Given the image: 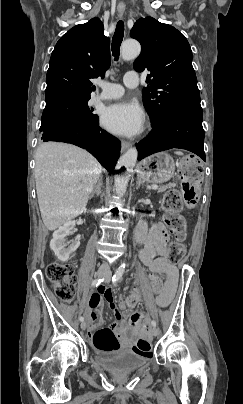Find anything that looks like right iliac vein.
I'll return each mask as SVG.
<instances>
[{"mask_svg": "<svg viewBox=\"0 0 243 404\" xmlns=\"http://www.w3.org/2000/svg\"><path fill=\"white\" fill-rule=\"evenodd\" d=\"M104 275H105V273H104L103 271H99V272L96 273V277H97V278H101V277H103ZM81 329H82V330H85V329H86V322L83 321V322L81 323Z\"/></svg>", "mask_w": 243, "mask_h": 404, "instance_id": "right-iliac-vein-1", "label": "right iliac vein"}]
</instances>
